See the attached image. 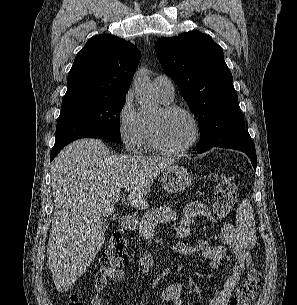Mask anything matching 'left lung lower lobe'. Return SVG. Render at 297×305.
Listing matches in <instances>:
<instances>
[{"label": "left lung lower lobe", "instance_id": "left-lung-lower-lobe-1", "mask_svg": "<svg viewBox=\"0 0 297 305\" xmlns=\"http://www.w3.org/2000/svg\"><path fill=\"white\" fill-rule=\"evenodd\" d=\"M202 141L204 142V145L202 148L197 149L196 153L199 154L203 153L211 149L212 147H223V148L239 150L247 154V156L250 158L252 162L254 169L256 170L257 156H256L254 142L245 128L236 130L235 132L229 134L228 136H226L216 144H212L208 142L207 139Z\"/></svg>", "mask_w": 297, "mask_h": 305}]
</instances>
